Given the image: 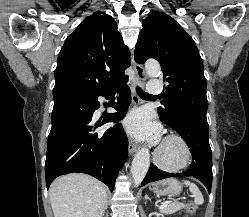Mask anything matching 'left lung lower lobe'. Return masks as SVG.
I'll use <instances>...</instances> for the list:
<instances>
[{"instance_id": "0a47b994", "label": "left lung lower lobe", "mask_w": 249, "mask_h": 217, "mask_svg": "<svg viewBox=\"0 0 249 217\" xmlns=\"http://www.w3.org/2000/svg\"><path fill=\"white\" fill-rule=\"evenodd\" d=\"M186 141L193 156L191 168L183 173L171 174L151 164L141 186L150 182L175 176H193L200 180L211 192L212 158L208 140V123L206 114L186 112L178 117L177 124L169 125Z\"/></svg>"}]
</instances>
